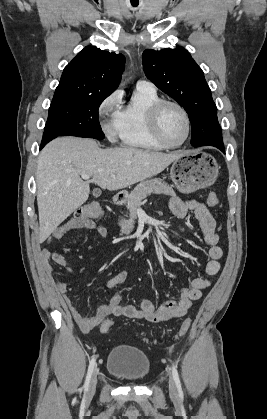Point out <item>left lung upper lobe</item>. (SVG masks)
I'll use <instances>...</instances> for the list:
<instances>
[{
  "label": "left lung upper lobe",
  "instance_id": "5c2ea615",
  "mask_svg": "<svg viewBox=\"0 0 267 419\" xmlns=\"http://www.w3.org/2000/svg\"><path fill=\"white\" fill-rule=\"evenodd\" d=\"M142 62L147 78L188 113L192 124L191 144L194 146L207 136L223 144L211 90L190 53L183 47L145 50Z\"/></svg>",
  "mask_w": 267,
  "mask_h": 419
}]
</instances>
